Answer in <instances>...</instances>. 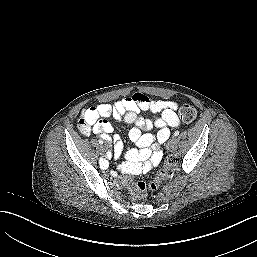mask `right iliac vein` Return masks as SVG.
<instances>
[{"label":"right iliac vein","mask_w":257,"mask_h":257,"mask_svg":"<svg viewBox=\"0 0 257 257\" xmlns=\"http://www.w3.org/2000/svg\"><path fill=\"white\" fill-rule=\"evenodd\" d=\"M101 151H102L103 153H105V152H106V147H105V146H101Z\"/></svg>","instance_id":"obj_1"}]
</instances>
